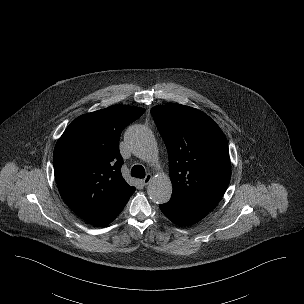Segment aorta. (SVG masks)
Segmentation results:
<instances>
[{
  "mask_svg": "<svg viewBox=\"0 0 304 304\" xmlns=\"http://www.w3.org/2000/svg\"><path fill=\"white\" fill-rule=\"evenodd\" d=\"M126 142L140 159L150 163L158 159V148L152 132L145 126L136 125L128 129ZM149 198L157 204L167 203L172 194V183L166 174L156 175L148 185Z\"/></svg>",
  "mask_w": 304,
  "mask_h": 304,
  "instance_id": "762f6f07",
  "label": "aorta"
}]
</instances>
